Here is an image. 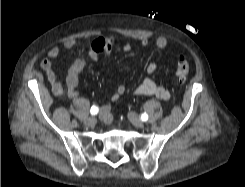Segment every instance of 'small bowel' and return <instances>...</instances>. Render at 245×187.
<instances>
[{
	"label": "small bowel",
	"instance_id": "small-bowel-1",
	"mask_svg": "<svg viewBox=\"0 0 245 187\" xmlns=\"http://www.w3.org/2000/svg\"><path fill=\"white\" fill-rule=\"evenodd\" d=\"M76 44L75 40H67L64 42L63 46L67 50H71ZM140 44L142 46H147L149 44V38L143 36L140 38ZM168 44L167 38L160 36L156 39L155 45L158 49H164ZM115 47V41L112 38L100 37L95 39L89 46L86 57H80L73 62L69 67L67 77H66V88L63 87L61 83L58 82L57 74L52 66V59L56 58L60 49L58 47H52L47 54V57L43 58L40 62L41 69L45 72L48 82L50 83L52 93L55 96H62L65 93L70 97H76L78 95L77 86L79 83L80 74L84 71L87 66L88 60H95L101 55H109ZM125 51L131 49L129 43L123 45ZM157 64L151 62L146 68L147 77H145L142 82L135 87L133 93L135 95H145V96H155L161 100L170 99V91L158 85L151 76L156 72ZM126 93V87L124 85H119L116 92L111 96L110 102L101 106V115L105 123H110L112 121L111 115V105L116 102L120 96Z\"/></svg>",
	"mask_w": 245,
	"mask_h": 187
}]
</instances>
